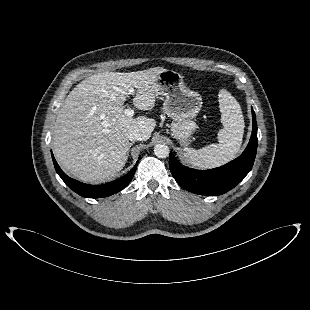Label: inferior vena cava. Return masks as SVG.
I'll list each match as a JSON object with an SVG mask.
<instances>
[{"label": "inferior vena cava", "instance_id": "inferior-vena-cava-1", "mask_svg": "<svg viewBox=\"0 0 310 310\" xmlns=\"http://www.w3.org/2000/svg\"><path fill=\"white\" fill-rule=\"evenodd\" d=\"M128 139H129L130 141H135V140H142L143 137H142V134H141L139 131H137V130H132V131H130L129 134H128Z\"/></svg>", "mask_w": 310, "mask_h": 310}]
</instances>
